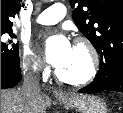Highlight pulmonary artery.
Returning a JSON list of instances; mask_svg holds the SVG:
<instances>
[{
    "mask_svg": "<svg viewBox=\"0 0 123 113\" xmlns=\"http://www.w3.org/2000/svg\"><path fill=\"white\" fill-rule=\"evenodd\" d=\"M66 15V7L61 3H55L42 11L36 18V22L42 25H51L62 20Z\"/></svg>",
    "mask_w": 123,
    "mask_h": 113,
    "instance_id": "obj_1",
    "label": "pulmonary artery"
}]
</instances>
